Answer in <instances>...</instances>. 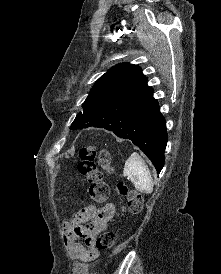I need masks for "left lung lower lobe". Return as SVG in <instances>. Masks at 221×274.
<instances>
[{"instance_id":"obj_1","label":"left lung lower lobe","mask_w":221,"mask_h":274,"mask_svg":"<svg viewBox=\"0 0 221 274\" xmlns=\"http://www.w3.org/2000/svg\"><path fill=\"white\" fill-rule=\"evenodd\" d=\"M93 113L98 121L89 127L104 128L120 138L130 139L160 173L167 145L166 122L151 87L147 86L137 98L110 103Z\"/></svg>"}]
</instances>
